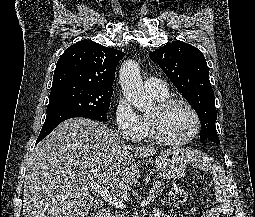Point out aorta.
<instances>
[{
    "instance_id": "aorta-1",
    "label": "aorta",
    "mask_w": 255,
    "mask_h": 217,
    "mask_svg": "<svg viewBox=\"0 0 255 217\" xmlns=\"http://www.w3.org/2000/svg\"><path fill=\"white\" fill-rule=\"evenodd\" d=\"M119 82L125 98L140 112L153 108V102L144 90L140 66L134 60H126L119 71Z\"/></svg>"
}]
</instances>
